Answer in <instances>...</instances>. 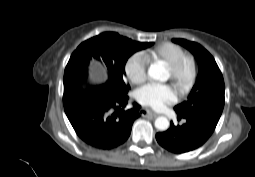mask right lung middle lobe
I'll use <instances>...</instances> for the list:
<instances>
[{"instance_id":"right-lung-middle-lobe-1","label":"right lung middle lobe","mask_w":255,"mask_h":177,"mask_svg":"<svg viewBox=\"0 0 255 177\" xmlns=\"http://www.w3.org/2000/svg\"><path fill=\"white\" fill-rule=\"evenodd\" d=\"M120 36L118 33L105 32L83 42L70 57L65 68L64 84L87 82L88 65L91 59L100 61L107 70L108 79L101 85L116 95L128 93L125 75L127 59L135 52L152 46Z\"/></svg>"}]
</instances>
